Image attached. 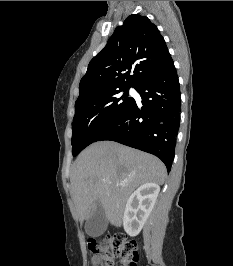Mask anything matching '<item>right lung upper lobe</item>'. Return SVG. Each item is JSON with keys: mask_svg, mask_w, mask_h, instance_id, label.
I'll use <instances>...</instances> for the list:
<instances>
[{"mask_svg": "<svg viewBox=\"0 0 233 266\" xmlns=\"http://www.w3.org/2000/svg\"><path fill=\"white\" fill-rule=\"evenodd\" d=\"M171 59L158 28L146 16L130 15L90 61L77 101L108 90L136 88Z\"/></svg>", "mask_w": 233, "mask_h": 266, "instance_id": "1", "label": "right lung upper lobe"}]
</instances>
